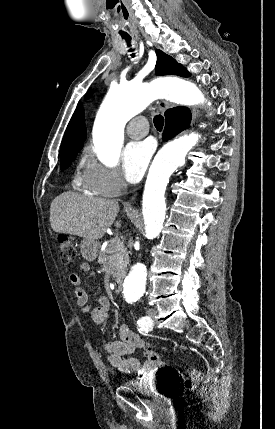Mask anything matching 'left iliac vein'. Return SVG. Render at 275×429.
Masks as SVG:
<instances>
[{
  "instance_id": "4c4485c4",
  "label": "left iliac vein",
  "mask_w": 275,
  "mask_h": 429,
  "mask_svg": "<svg viewBox=\"0 0 275 429\" xmlns=\"http://www.w3.org/2000/svg\"><path fill=\"white\" fill-rule=\"evenodd\" d=\"M155 313H156V311H155V309H153V308H150V309H148V310H147V314H148V317H149L150 319H153V318H154Z\"/></svg>"
}]
</instances>
